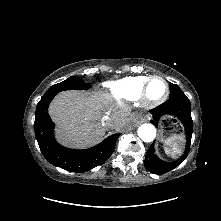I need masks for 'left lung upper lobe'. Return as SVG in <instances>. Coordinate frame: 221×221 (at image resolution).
<instances>
[{"label": "left lung upper lobe", "instance_id": "5c2ea615", "mask_svg": "<svg viewBox=\"0 0 221 221\" xmlns=\"http://www.w3.org/2000/svg\"><path fill=\"white\" fill-rule=\"evenodd\" d=\"M170 85V98L177 96H185L184 92L176 84L169 83Z\"/></svg>", "mask_w": 221, "mask_h": 221}]
</instances>
